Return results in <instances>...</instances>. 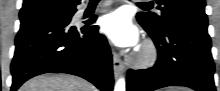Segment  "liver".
I'll return each instance as SVG.
<instances>
[{
	"label": "liver",
	"instance_id": "liver-1",
	"mask_svg": "<svg viewBox=\"0 0 220 91\" xmlns=\"http://www.w3.org/2000/svg\"><path fill=\"white\" fill-rule=\"evenodd\" d=\"M19 91H97L88 81L69 74H43L24 83Z\"/></svg>",
	"mask_w": 220,
	"mask_h": 91
}]
</instances>
